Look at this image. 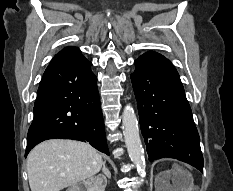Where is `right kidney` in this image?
I'll list each match as a JSON object with an SVG mask.
<instances>
[{"instance_id": "1", "label": "right kidney", "mask_w": 233, "mask_h": 191, "mask_svg": "<svg viewBox=\"0 0 233 191\" xmlns=\"http://www.w3.org/2000/svg\"><path fill=\"white\" fill-rule=\"evenodd\" d=\"M86 186L88 187V191H104L106 184H102L97 180V178L92 177L90 181L85 182ZM78 189L71 188L67 191H77Z\"/></svg>"}]
</instances>
